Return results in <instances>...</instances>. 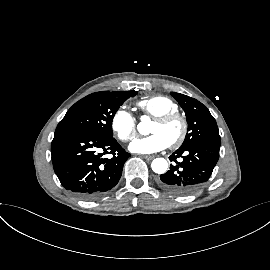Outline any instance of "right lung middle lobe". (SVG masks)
<instances>
[{"label":"right lung middle lobe","instance_id":"right-lung-middle-lobe-1","mask_svg":"<svg viewBox=\"0 0 270 270\" xmlns=\"http://www.w3.org/2000/svg\"><path fill=\"white\" fill-rule=\"evenodd\" d=\"M137 91H101L76 102L59 122L56 131L79 130L112 139V120L119 107Z\"/></svg>","mask_w":270,"mask_h":270}]
</instances>
